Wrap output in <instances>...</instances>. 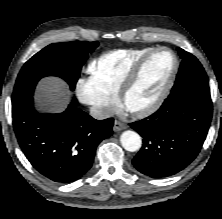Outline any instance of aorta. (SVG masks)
I'll use <instances>...</instances> for the list:
<instances>
[{
  "mask_svg": "<svg viewBox=\"0 0 222 219\" xmlns=\"http://www.w3.org/2000/svg\"><path fill=\"white\" fill-rule=\"evenodd\" d=\"M120 142L122 147L129 152H135L139 150L142 145L140 135L130 130L124 131L121 134Z\"/></svg>",
  "mask_w": 222,
  "mask_h": 219,
  "instance_id": "aorta-1",
  "label": "aorta"
}]
</instances>
